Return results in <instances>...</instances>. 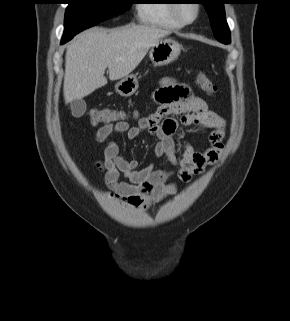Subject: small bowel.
<instances>
[{
    "instance_id": "c3829d8e",
    "label": "small bowel",
    "mask_w": 290,
    "mask_h": 321,
    "mask_svg": "<svg viewBox=\"0 0 290 321\" xmlns=\"http://www.w3.org/2000/svg\"><path fill=\"white\" fill-rule=\"evenodd\" d=\"M152 98L158 104L156 111L141 117L136 125L130 126L122 121L104 125L96 133V140L104 143L112 134L125 135L131 141L147 132L157 139L153 154L166 157L175 166L172 171L156 170L152 163L139 168L137 159L121 154L117 141L106 142L103 158L98 159L95 166L104 175L108 195L124 206L139 211L149 209L177 191V183L170 180L172 177L188 181L205 167L216 163L226 129L222 117L211 111L206 102L195 96L186 84L174 78H163ZM183 126L208 129L209 148L201 152L184 143L179 158L174 135ZM121 174L129 182L120 181Z\"/></svg>"
}]
</instances>
